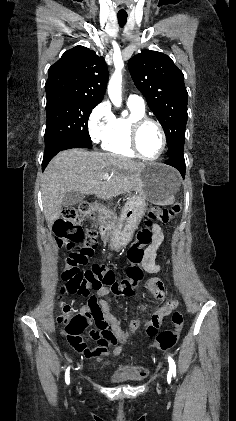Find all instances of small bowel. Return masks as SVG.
<instances>
[{"label":"small bowel","mask_w":236,"mask_h":421,"mask_svg":"<svg viewBox=\"0 0 236 421\" xmlns=\"http://www.w3.org/2000/svg\"><path fill=\"white\" fill-rule=\"evenodd\" d=\"M153 232V245L148 249L144 265L147 268H151V263L153 262V250L155 248H158L161 242L163 241V233L161 228L154 224L152 227ZM149 291L157 296L162 297L163 296V286L161 283H158L156 281L150 282L148 285ZM107 292L104 290L98 291L96 296H92L89 300V306H91L93 309H95L96 313V319L98 325L101 327V329H105L107 326H111L112 328H115L116 330L119 329L118 322L112 317V315L109 312V306L105 300L102 299L104 295H106ZM170 312V309L168 307L163 308L159 315L155 318L154 322L157 320L161 321L162 316L168 314ZM136 327V324H135ZM106 331H100V332H92V336L98 340L99 344L102 342L103 337H105ZM119 350L116 349L114 351V354H118ZM105 353H102L100 355H94V356H87L88 358L91 357H100L104 355ZM142 374H146L144 370H142Z\"/></svg>","instance_id":"1"}]
</instances>
